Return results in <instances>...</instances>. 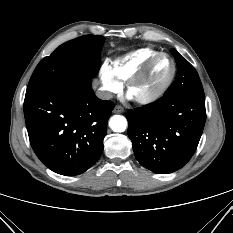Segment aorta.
<instances>
[{
	"instance_id": "1",
	"label": "aorta",
	"mask_w": 233,
	"mask_h": 233,
	"mask_svg": "<svg viewBox=\"0 0 233 233\" xmlns=\"http://www.w3.org/2000/svg\"><path fill=\"white\" fill-rule=\"evenodd\" d=\"M109 126L114 132H124L127 127V120L124 116L114 115L109 121Z\"/></svg>"
}]
</instances>
